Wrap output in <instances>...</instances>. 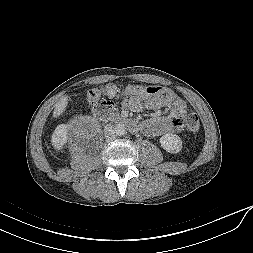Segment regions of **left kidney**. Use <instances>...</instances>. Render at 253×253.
<instances>
[{"label": "left kidney", "instance_id": "5707ae66", "mask_svg": "<svg viewBox=\"0 0 253 253\" xmlns=\"http://www.w3.org/2000/svg\"><path fill=\"white\" fill-rule=\"evenodd\" d=\"M161 146L169 153H178L182 149V140L176 134H165L160 138Z\"/></svg>", "mask_w": 253, "mask_h": 253}]
</instances>
